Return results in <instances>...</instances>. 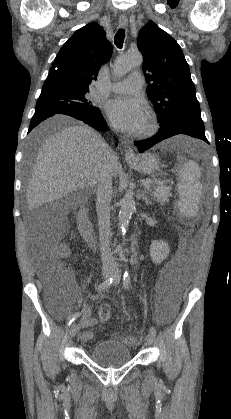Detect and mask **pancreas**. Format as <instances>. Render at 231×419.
I'll list each match as a JSON object with an SVG mask.
<instances>
[{"instance_id": "obj_1", "label": "pancreas", "mask_w": 231, "mask_h": 419, "mask_svg": "<svg viewBox=\"0 0 231 419\" xmlns=\"http://www.w3.org/2000/svg\"><path fill=\"white\" fill-rule=\"evenodd\" d=\"M170 196H171V193L169 192L167 188L155 189L152 192L153 199L161 204H164L165 202L168 203Z\"/></svg>"}]
</instances>
